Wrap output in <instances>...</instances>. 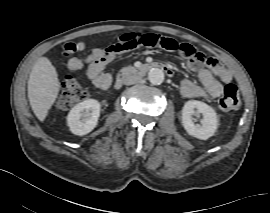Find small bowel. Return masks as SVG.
<instances>
[{
  "mask_svg": "<svg viewBox=\"0 0 270 213\" xmlns=\"http://www.w3.org/2000/svg\"><path fill=\"white\" fill-rule=\"evenodd\" d=\"M191 48L193 51H197L193 46ZM85 50L86 44L84 42L67 43L62 47V55L68 57V70L78 72L87 66V76L93 85L98 89L107 90L112 84L113 76L105 68L115 58V53H107L104 49L96 47L91 49L84 57L74 56L75 53ZM183 55L187 59L188 69L195 72L200 80V84L190 79L181 80L180 92L184 97L215 99L222 94L224 85L232 82V73L218 60L213 59L206 66L203 63L196 62L185 53ZM167 65L174 72V67L170 64Z\"/></svg>",
  "mask_w": 270,
  "mask_h": 213,
  "instance_id": "small-bowel-1",
  "label": "small bowel"
}]
</instances>
